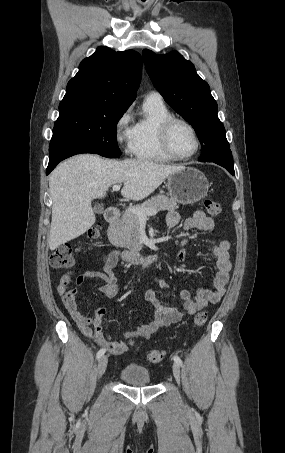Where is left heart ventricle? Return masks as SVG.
Instances as JSON below:
<instances>
[{
	"mask_svg": "<svg viewBox=\"0 0 285 453\" xmlns=\"http://www.w3.org/2000/svg\"><path fill=\"white\" fill-rule=\"evenodd\" d=\"M171 145L180 155H189L195 149V139L190 129L183 124H176L171 132Z\"/></svg>",
	"mask_w": 285,
	"mask_h": 453,
	"instance_id": "1",
	"label": "left heart ventricle"
}]
</instances>
